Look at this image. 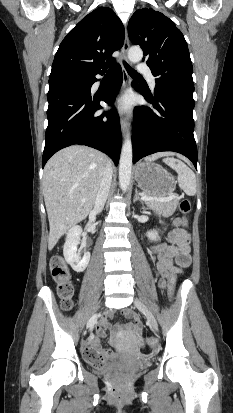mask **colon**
Masks as SVG:
<instances>
[{
    "instance_id": "5ec220e1",
    "label": "colon",
    "mask_w": 233,
    "mask_h": 413,
    "mask_svg": "<svg viewBox=\"0 0 233 413\" xmlns=\"http://www.w3.org/2000/svg\"><path fill=\"white\" fill-rule=\"evenodd\" d=\"M179 210L183 214V226L187 225V214L191 210L190 201L187 199H182L179 203ZM50 271L52 278L57 283L58 294L61 298V304L63 309L68 310L72 307V297L74 294V284L71 280L69 269L67 268L64 260L60 256H55L50 262ZM175 292V278L171 279L169 282V294L171 297L174 296ZM148 345L151 348L155 347V342L152 339H148ZM105 359L104 354H91L87 357V360L97 366L103 364Z\"/></svg>"
}]
</instances>
